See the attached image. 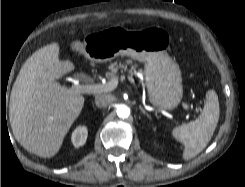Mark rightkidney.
I'll list each match as a JSON object with an SVG mask.
<instances>
[{
    "label": "right kidney",
    "instance_id": "obj_1",
    "mask_svg": "<svg viewBox=\"0 0 245 187\" xmlns=\"http://www.w3.org/2000/svg\"><path fill=\"white\" fill-rule=\"evenodd\" d=\"M88 131L85 126H79L77 127L73 132L71 136V141L73 145L78 148L85 144L87 139Z\"/></svg>",
    "mask_w": 245,
    "mask_h": 187
}]
</instances>
